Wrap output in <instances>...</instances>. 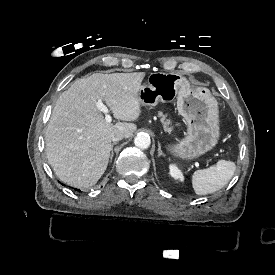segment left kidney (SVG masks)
I'll use <instances>...</instances> for the list:
<instances>
[{"label":"left kidney","mask_w":275,"mask_h":275,"mask_svg":"<svg viewBox=\"0 0 275 275\" xmlns=\"http://www.w3.org/2000/svg\"><path fill=\"white\" fill-rule=\"evenodd\" d=\"M169 173L174 179L180 180L181 182L184 181V176L181 170L175 164L169 165Z\"/></svg>","instance_id":"1"}]
</instances>
